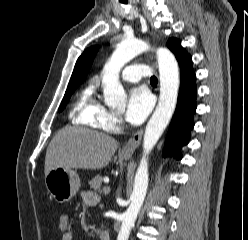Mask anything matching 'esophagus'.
Returning a JSON list of instances; mask_svg holds the SVG:
<instances>
[{
  "instance_id": "34e87169",
  "label": "esophagus",
  "mask_w": 248,
  "mask_h": 240,
  "mask_svg": "<svg viewBox=\"0 0 248 240\" xmlns=\"http://www.w3.org/2000/svg\"><path fill=\"white\" fill-rule=\"evenodd\" d=\"M143 136V130L137 131L129 140L128 142L124 145L122 148L121 153L125 155L132 154L135 149L139 146L141 139Z\"/></svg>"
}]
</instances>
